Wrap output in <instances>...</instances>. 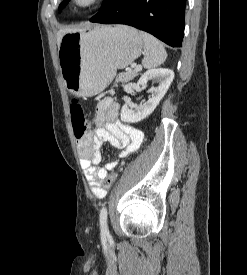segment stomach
Wrapping results in <instances>:
<instances>
[{
    "label": "stomach",
    "mask_w": 247,
    "mask_h": 275,
    "mask_svg": "<svg viewBox=\"0 0 247 275\" xmlns=\"http://www.w3.org/2000/svg\"><path fill=\"white\" fill-rule=\"evenodd\" d=\"M142 49L138 31L125 25L66 33L58 49L64 84L75 96L97 95L112 82L117 69L128 67Z\"/></svg>",
    "instance_id": "stomach-1"
}]
</instances>
